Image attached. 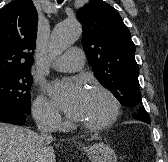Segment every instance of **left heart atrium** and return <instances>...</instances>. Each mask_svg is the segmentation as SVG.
I'll return each mask as SVG.
<instances>
[{
	"label": "left heart atrium",
	"mask_w": 168,
	"mask_h": 162,
	"mask_svg": "<svg viewBox=\"0 0 168 162\" xmlns=\"http://www.w3.org/2000/svg\"><path fill=\"white\" fill-rule=\"evenodd\" d=\"M53 96L59 106L72 119L80 120L89 92L81 81H62L52 88Z\"/></svg>",
	"instance_id": "left-heart-atrium-1"
}]
</instances>
